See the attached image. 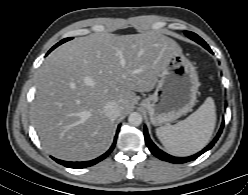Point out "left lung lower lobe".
Returning <instances> with one entry per match:
<instances>
[{"mask_svg": "<svg viewBox=\"0 0 248 195\" xmlns=\"http://www.w3.org/2000/svg\"><path fill=\"white\" fill-rule=\"evenodd\" d=\"M207 50L212 53V51L209 47H207ZM223 127H224V120L222 121V125L220 127V130H219L218 134L216 135V137L214 138V140L207 147H205L203 150H201L200 152H198L192 156H189V157H174V156H171V155L163 152L162 150H160L150 139L146 127H144V137H145L146 145L148 146L149 150L157 158L164 160V161H167V162H170V163L180 164V163H186V162L195 160L197 157L202 155L204 152L211 149L213 147V145L215 144V142L218 140L219 136L221 135Z\"/></svg>", "mask_w": 248, "mask_h": 195, "instance_id": "1", "label": "left lung lower lobe"}]
</instances>
